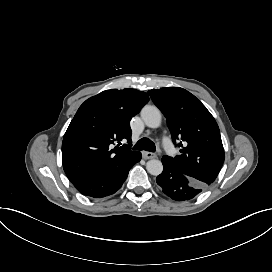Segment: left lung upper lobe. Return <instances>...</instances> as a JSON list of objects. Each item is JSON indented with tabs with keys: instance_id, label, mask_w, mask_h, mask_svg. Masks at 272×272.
Listing matches in <instances>:
<instances>
[{
	"instance_id": "obj_1",
	"label": "left lung upper lobe",
	"mask_w": 272,
	"mask_h": 272,
	"mask_svg": "<svg viewBox=\"0 0 272 272\" xmlns=\"http://www.w3.org/2000/svg\"><path fill=\"white\" fill-rule=\"evenodd\" d=\"M149 94L167 119L173 143L181 147V155L163 156V159L205 186L213 183L225 158L219 127L213 116L185 89H152Z\"/></svg>"
}]
</instances>
